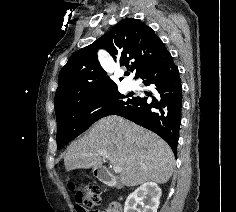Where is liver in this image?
<instances>
[{
    "instance_id": "obj_1",
    "label": "liver",
    "mask_w": 236,
    "mask_h": 212,
    "mask_svg": "<svg viewBox=\"0 0 236 212\" xmlns=\"http://www.w3.org/2000/svg\"><path fill=\"white\" fill-rule=\"evenodd\" d=\"M120 166V182L127 187L148 181L166 183L173 173L174 155L169 145L155 133L119 116H107L94 123L87 133L67 149V171L98 169L105 157ZM108 159V158H107Z\"/></svg>"
}]
</instances>
